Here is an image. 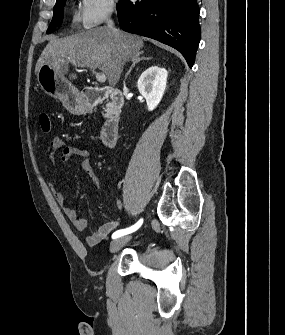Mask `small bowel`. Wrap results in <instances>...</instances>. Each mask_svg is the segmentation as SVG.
<instances>
[{
    "label": "small bowel",
    "mask_w": 285,
    "mask_h": 335,
    "mask_svg": "<svg viewBox=\"0 0 285 335\" xmlns=\"http://www.w3.org/2000/svg\"><path fill=\"white\" fill-rule=\"evenodd\" d=\"M50 146L52 149L51 159L53 161L56 160L58 153L60 154V159L62 162H69L74 157L81 158V169L89 175L93 184L95 186L97 185V175L90 161L89 151L86 148L79 146H68L60 137H55L52 139ZM50 188L56 201L63 209L72 226L78 231L85 230L87 226L86 219L80 217L76 210L68 205L67 197L64 193L58 191L54 185H51ZM117 205L120 209H122L123 205L120 200H117ZM118 225V220L109 221L100 225L96 231L86 236V242L91 246L98 244L99 242L105 240L117 228Z\"/></svg>",
    "instance_id": "obj_1"
}]
</instances>
